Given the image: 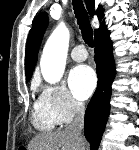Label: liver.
<instances>
[{"instance_id": "1", "label": "liver", "mask_w": 139, "mask_h": 150, "mask_svg": "<svg viewBox=\"0 0 139 150\" xmlns=\"http://www.w3.org/2000/svg\"><path fill=\"white\" fill-rule=\"evenodd\" d=\"M81 143L65 129L35 136L29 143L28 150H82L80 148H84L83 138Z\"/></svg>"}]
</instances>
